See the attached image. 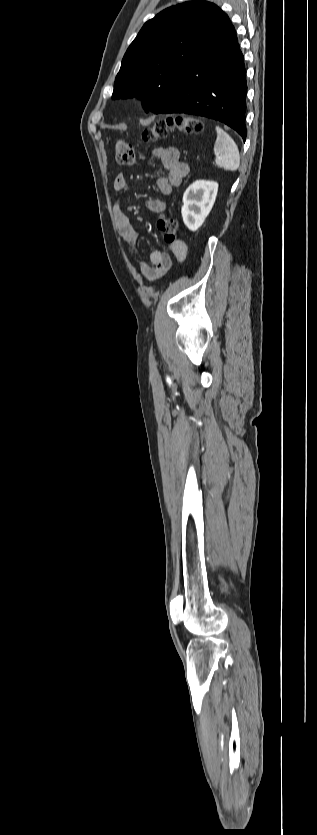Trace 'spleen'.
<instances>
[{
  "label": "spleen",
  "instance_id": "spleen-1",
  "mask_svg": "<svg viewBox=\"0 0 317 835\" xmlns=\"http://www.w3.org/2000/svg\"><path fill=\"white\" fill-rule=\"evenodd\" d=\"M217 138L214 144L215 163L227 171H235L240 165L239 150L234 140L222 128L216 126Z\"/></svg>",
  "mask_w": 317,
  "mask_h": 835
}]
</instances>
